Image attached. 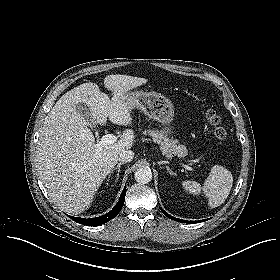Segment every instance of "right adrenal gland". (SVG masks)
<instances>
[{"instance_id": "obj_1", "label": "right adrenal gland", "mask_w": 280, "mask_h": 280, "mask_svg": "<svg viewBox=\"0 0 280 280\" xmlns=\"http://www.w3.org/2000/svg\"><path fill=\"white\" fill-rule=\"evenodd\" d=\"M123 164H124L123 162L118 163L117 166L112 170V171L117 170L116 180L119 179L120 167H121V165H123ZM110 173H112V172H110Z\"/></svg>"}]
</instances>
